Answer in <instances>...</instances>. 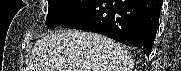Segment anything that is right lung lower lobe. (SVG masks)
Here are the masks:
<instances>
[{
    "label": "right lung lower lobe",
    "instance_id": "obj_1",
    "mask_svg": "<svg viewBox=\"0 0 181 71\" xmlns=\"http://www.w3.org/2000/svg\"><path fill=\"white\" fill-rule=\"evenodd\" d=\"M162 0H94L62 25L106 35L149 56L159 24Z\"/></svg>",
    "mask_w": 181,
    "mask_h": 71
}]
</instances>
